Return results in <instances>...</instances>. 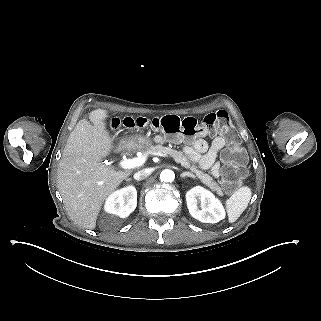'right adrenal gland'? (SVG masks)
I'll return each instance as SVG.
<instances>
[{"instance_id": "1", "label": "right adrenal gland", "mask_w": 321, "mask_h": 321, "mask_svg": "<svg viewBox=\"0 0 321 321\" xmlns=\"http://www.w3.org/2000/svg\"><path fill=\"white\" fill-rule=\"evenodd\" d=\"M126 181H131V178H127Z\"/></svg>"}]
</instances>
